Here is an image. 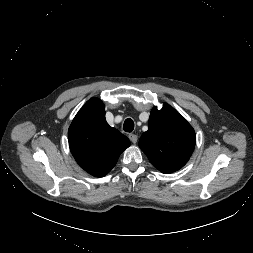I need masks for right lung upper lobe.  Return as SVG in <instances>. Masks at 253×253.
<instances>
[{
    "label": "right lung upper lobe",
    "instance_id": "cb5924a9",
    "mask_svg": "<svg viewBox=\"0 0 253 253\" xmlns=\"http://www.w3.org/2000/svg\"><path fill=\"white\" fill-rule=\"evenodd\" d=\"M69 147L76 162L89 174L103 177L115 166L129 139L105 119V107L91 98L79 110L68 130Z\"/></svg>",
    "mask_w": 253,
    "mask_h": 253
}]
</instances>
